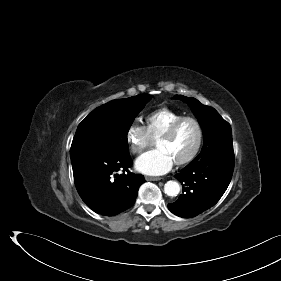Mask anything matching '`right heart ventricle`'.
Wrapping results in <instances>:
<instances>
[{"mask_svg": "<svg viewBox=\"0 0 281 281\" xmlns=\"http://www.w3.org/2000/svg\"><path fill=\"white\" fill-rule=\"evenodd\" d=\"M183 115L167 107L159 108L149 113L146 120V128L153 140L159 137L168 129V127Z\"/></svg>", "mask_w": 281, "mask_h": 281, "instance_id": "1", "label": "right heart ventricle"}]
</instances>
